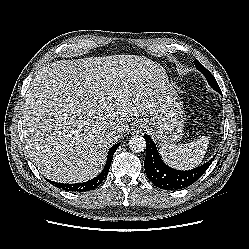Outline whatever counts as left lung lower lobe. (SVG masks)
I'll list each match as a JSON object with an SVG mask.
<instances>
[{
	"mask_svg": "<svg viewBox=\"0 0 249 249\" xmlns=\"http://www.w3.org/2000/svg\"><path fill=\"white\" fill-rule=\"evenodd\" d=\"M144 138L147 151L144 161L146 175L159 188L176 190L188 187L205 173L213 161L211 159L202 166L188 171L176 170L162 161L150 136L145 134Z\"/></svg>",
	"mask_w": 249,
	"mask_h": 249,
	"instance_id": "0a47b994",
	"label": "left lung lower lobe"
}]
</instances>
